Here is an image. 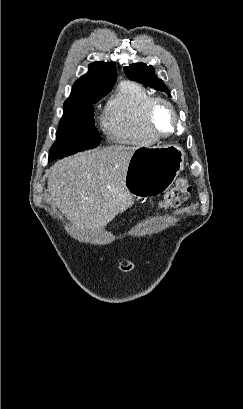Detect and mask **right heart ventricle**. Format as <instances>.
<instances>
[{
  "label": "right heart ventricle",
  "mask_w": 243,
  "mask_h": 409,
  "mask_svg": "<svg viewBox=\"0 0 243 409\" xmlns=\"http://www.w3.org/2000/svg\"><path fill=\"white\" fill-rule=\"evenodd\" d=\"M152 94L141 84L123 81L110 98L104 115V129L119 143L152 145L157 139L147 129L145 110Z\"/></svg>",
  "instance_id": "right-heart-ventricle-1"
}]
</instances>
